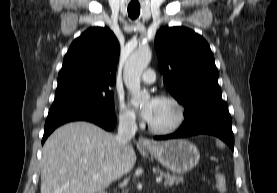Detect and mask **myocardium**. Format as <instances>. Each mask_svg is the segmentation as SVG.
I'll use <instances>...</instances> for the list:
<instances>
[{
    "instance_id": "1",
    "label": "myocardium",
    "mask_w": 277,
    "mask_h": 193,
    "mask_svg": "<svg viewBox=\"0 0 277 193\" xmlns=\"http://www.w3.org/2000/svg\"><path fill=\"white\" fill-rule=\"evenodd\" d=\"M158 99L170 102L175 107L176 112H177L176 120L174 121L173 124H171L168 127H164V128L154 127L153 125L148 123V128L154 134H158V135L171 134V133L175 132L176 130H178L183 125L185 118H186L185 108H184L183 104L176 97H174L172 95L164 94V95L159 96Z\"/></svg>"
}]
</instances>
